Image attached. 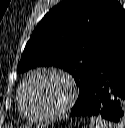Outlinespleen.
<instances>
[{"mask_svg": "<svg viewBox=\"0 0 125 128\" xmlns=\"http://www.w3.org/2000/svg\"><path fill=\"white\" fill-rule=\"evenodd\" d=\"M90 128H113V126L99 117H91Z\"/></svg>", "mask_w": 125, "mask_h": 128, "instance_id": "3e777b00", "label": "spleen"}]
</instances>
